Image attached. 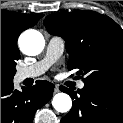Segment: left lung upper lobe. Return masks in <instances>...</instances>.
Returning a JSON list of instances; mask_svg holds the SVG:
<instances>
[{"mask_svg":"<svg viewBox=\"0 0 123 123\" xmlns=\"http://www.w3.org/2000/svg\"><path fill=\"white\" fill-rule=\"evenodd\" d=\"M44 25L65 40L68 69H76L84 83L123 86V30L111 18L87 10L60 12L48 15Z\"/></svg>","mask_w":123,"mask_h":123,"instance_id":"obj_1","label":"left lung upper lobe"}]
</instances>
